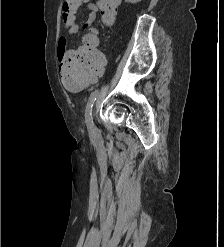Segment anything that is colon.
<instances>
[{
	"instance_id": "1",
	"label": "colon",
	"mask_w": 224,
	"mask_h": 247,
	"mask_svg": "<svg viewBox=\"0 0 224 247\" xmlns=\"http://www.w3.org/2000/svg\"><path fill=\"white\" fill-rule=\"evenodd\" d=\"M81 0H64L61 7L62 23H70L76 20V14L81 7ZM120 0H97L98 8L103 21L111 23L117 13ZM104 70V62L98 52V39L90 33L84 37V41L77 54L60 64V74L68 89H79L90 81L99 78Z\"/></svg>"
}]
</instances>
